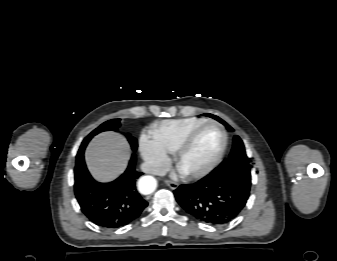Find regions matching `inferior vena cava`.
Returning <instances> with one entry per match:
<instances>
[{"label":"inferior vena cava","mask_w":337,"mask_h":261,"mask_svg":"<svg viewBox=\"0 0 337 261\" xmlns=\"http://www.w3.org/2000/svg\"><path fill=\"white\" fill-rule=\"evenodd\" d=\"M141 170L145 173L158 176H164L166 174V170L162 166L150 162H144L141 165Z\"/></svg>","instance_id":"inferior-vena-cava-1"}]
</instances>
